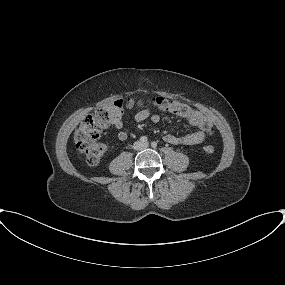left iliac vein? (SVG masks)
Returning a JSON list of instances; mask_svg holds the SVG:
<instances>
[{
    "mask_svg": "<svg viewBox=\"0 0 285 285\" xmlns=\"http://www.w3.org/2000/svg\"><path fill=\"white\" fill-rule=\"evenodd\" d=\"M142 146H143V148H148L149 147V143H144Z\"/></svg>",
    "mask_w": 285,
    "mask_h": 285,
    "instance_id": "1",
    "label": "left iliac vein"
}]
</instances>
